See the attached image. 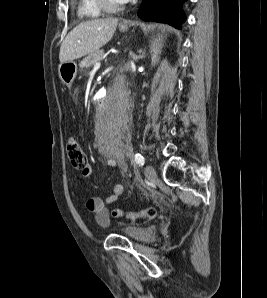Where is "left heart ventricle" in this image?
Returning a JSON list of instances; mask_svg holds the SVG:
<instances>
[{"mask_svg": "<svg viewBox=\"0 0 267 298\" xmlns=\"http://www.w3.org/2000/svg\"><path fill=\"white\" fill-rule=\"evenodd\" d=\"M113 4H120L119 0H109Z\"/></svg>", "mask_w": 267, "mask_h": 298, "instance_id": "left-heart-ventricle-1", "label": "left heart ventricle"}]
</instances>
